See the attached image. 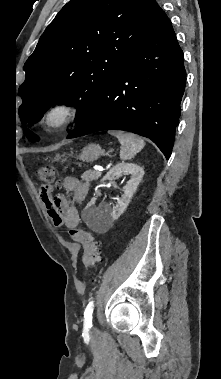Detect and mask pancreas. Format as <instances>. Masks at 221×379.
<instances>
[{
    "label": "pancreas",
    "mask_w": 221,
    "mask_h": 379,
    "mask_svg": "<svg viewBox=\"0 0 221 379\" xmlns=\"http://www.w3.org/2000/svg\"><path fill=\"white\" fill-rule=\"evenodd\" d=\"M101 176V173L98 171L87 170L81 176L82 180L89 182L98 179Z\"/></svg>",
    "instance_id": "pancreas-1"
}]
</instances>
